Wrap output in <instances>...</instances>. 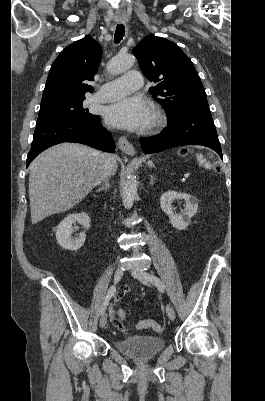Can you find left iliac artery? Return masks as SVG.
<instances>
[{
  "mask_svg": "<svg viewBox=\"0 0 265 401\" xmlns=\"http://www.w3.org/2000/svg\"><path fill=\"white\" fill-rule=\"evenodd\" d=\"M151 282L153 284H155L159 290H161V291L164 290V285H163L162 281L158 277L152 275Z\"/></svg>",
  "mask_w": 265,
  "mask_h": 401,
  "instance_id": "44dca946",
  "label": "left iliac artery"
}]
</instances>
